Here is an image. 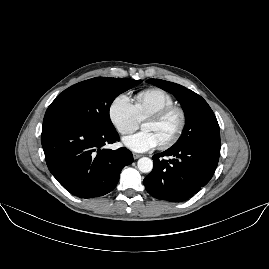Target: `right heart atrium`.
Wrapping results in <instances>:
<instances>
[{"instance_id": "1", "label": "right heart atrium", "mask_w": 269, "mask_h": 269, "mask_svg": "<svg viewBox=\"0 0 269 269\" xmlns=\"http://www.w3.org/2000/svg\"><path fill=\"white\" fill-rule=\"evenodd\" d=\"M108 118L121 135L130 134L140 126L133 103L126 94H119L113 98L108 107Z\"/></svg>"}]
</instances>
